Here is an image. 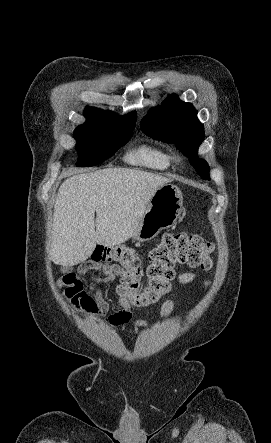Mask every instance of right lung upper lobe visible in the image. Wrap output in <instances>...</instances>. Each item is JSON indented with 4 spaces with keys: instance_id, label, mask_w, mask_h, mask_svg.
Masks as SVG:
<instances>
[{
    "instance_id": "1",
    "label": "right lung upper lobe",
    "mask_w": 271,
    "mask_h": 443,
    "mask_svg": "<svg viewBox=\"0 0 271 443\" xmlns=\"http://www.w3.org/2000/svg\"><path fill=\"white\" fill-rule=\"evenodd\" d=\"M84 115L87 119H122V120H136V113L131 112L126 116H117L114 112H105L97 108L86 107Z\"/></svg>"
}]
</instances>
